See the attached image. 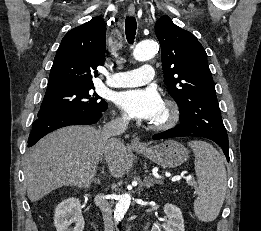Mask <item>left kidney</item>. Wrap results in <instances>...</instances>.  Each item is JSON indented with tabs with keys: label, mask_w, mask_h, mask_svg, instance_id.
I'll return each instance as SVG.
<instances>
[{
	"label": "left kidney",
	"mask_w": 261,
	"mask_h": 231,
	"mask_svg": "<svg viewBox=\"0 0 261 231\" xmlns=\"http://www.w3.org/2000/svg\"><path fill=\"white\" fill-rule=\"evenodd\" d=\"M164 213L168 217V221L161 225L153 226L151 231H160L161 228L165 231H185L184 220L180 208L173 204H165Z\"/></svg>",
	"instance_id": "1"
}]
</instances>
